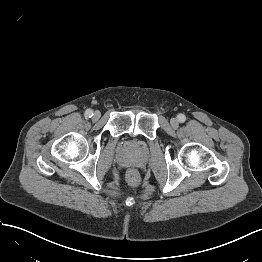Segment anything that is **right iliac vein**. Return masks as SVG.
<instances>
[{
    "instance_id": "63e3f726",
    "label": "right iliac vein",
    "mask_w": 262,
    "mask_h": 262,
    "mask_svg": "<svg viewBox=\"0 0 262 262\" xmlns=\"http://www.w3.org/2000/svg\"><path fill=\"white\" fill-rule=\"evenodd\" d=\"M100 116H101V113L99 111H95L94 115H93V119L98 120L100 118Z\"/></svg>"
}]
</instances>
